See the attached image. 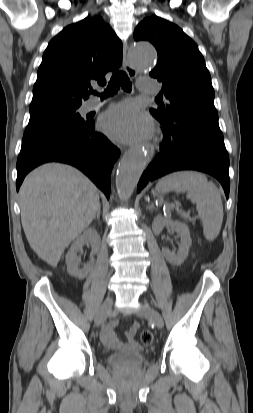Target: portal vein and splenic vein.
<instances>
[{
    "label": "portal vein and splenic vein",
    "instance_id": "18ae733b",
    "mask_svg": "<svg viewBox=\"0 0 253 413\" xmlns=\"http://www.w3.org/2000/svg\"><path fill=\"white\" fill-rule=\"evenodd\" d=\"M179 213H181L183 216H188V214L187 213H185V212H182V211H179V210H177Z\"/></svg>",
    "mask_w": 253,
    "mask_h": 413
}]
</instances>
